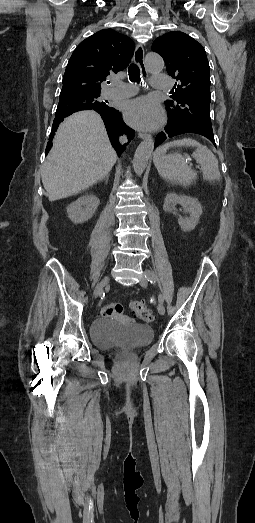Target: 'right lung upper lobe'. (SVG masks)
<instances>
[{"mask_svg": "<svg viewBox=\"0 0 255 523\" xmlns=\"http://www.w3.org/2000/svg\"><path fill=\"white\" fill-rule=\"evenodd\" d=\"M134 49V42L128 36L113 29L98 31L82 41L72 53L63 76L61 92L100 93L107 77L126 68ZM80 110H95L101 115L110 141L120 156L126 145L119 142V137L127 135L130 141L135 132L123 122L118 110L97 100H91L86 109L74 107L73 101H59L46 153L52 146L59 124L65 117Z\"/></svg>", "mask_w": 255, "mask_h": 523, "instance_id": "cb5924a9", "label": "right lung upper lobe"}]
</instances>
